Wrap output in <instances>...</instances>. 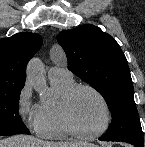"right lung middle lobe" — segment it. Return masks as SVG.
Here are the masks:
<instances>
[{
	"instance_id": "1",
	"label": "right lung middle lobe",
	"mask_w": 145,
	"mask_h": 147,
	"mask_svg": "<svg viewBox=\"0 0 145 147\" xmlns=\"http://www.w3.org/2000/svg\"><path fill=\"white\" fill-rule=\"evenodd\" d=\"M23 87L0 92V136L30 134L19 115V98Z\"/></svg>"
}]
</instances>
